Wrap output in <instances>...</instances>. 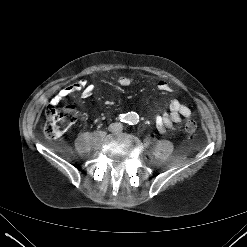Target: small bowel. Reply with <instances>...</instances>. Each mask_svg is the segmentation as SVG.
I'll use <instances>...</instances> for the list:
<instances>
[{"mask_svg": "<svg viewBox=\"0 0 247 247\" xmlns=\"http://www.w3.org/2000/svg\"><path fill=\"white\" fill-rule=\"evenodd\" d=\"M116 81L120 86L123 87L129 86L132 82L131 79L127 76H119ZM157 88L163 92L172 91V87L165 80H160L157 83ZM93 90V85L88 84L85 80H79L61 89L58 94L53 97L52 103L57 104L66 98L74 96L78 92H81L83 98H88L92 95ZM190 116V108L182 104L180 101L173 99L169 103V111L164 112L162 115L156 117V126L160 132H164L174 123H179L182 119L189 118Z\"/></svg>", "mask_w": 247, "mask_h": 247, "instance_id": "1", "label": "small bowel"}]
</instances>
